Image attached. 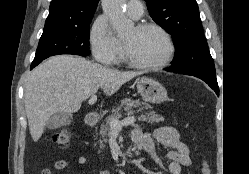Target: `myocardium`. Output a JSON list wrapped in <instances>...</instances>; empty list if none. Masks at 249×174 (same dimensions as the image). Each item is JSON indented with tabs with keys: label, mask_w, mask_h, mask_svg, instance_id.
<instances>
[{
	"label": "myocardium",
	"mask_w": 249,
	"mask_h": 174,
	"mask_svg": "<svg viewBox=\"0 0 249 174\" xmlns=\"http://www.w3.org/2000/svg\"><path fill=\"white\" fill-rule=\"evenodd\" d=\"M137 31L143 32L149 29H154L159 31L167 40V43L169 45V53L166 56L165 59H163L160 62L157 63H141L137 62L131 58H129L126 54L124 56V61L131 67L137 68V69H144V70H154V69H160L165 66H167L174 58L176 53V46L174 43V40L170 33L161 25L153 23V22H143L136 26Z\"/></svg>",
	"instance_id": "obj_1"
}]
</instances>
